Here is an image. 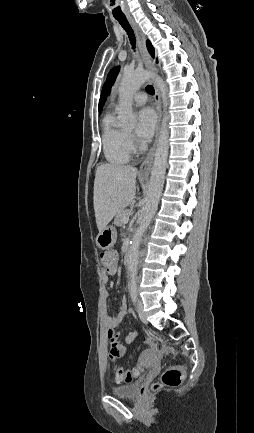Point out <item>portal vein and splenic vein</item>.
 I'll use <instances>...</instances> for the list:
<instances>
[{
  "label": "portal vein and splenic vein",
  "mask_w": 254,
  "mask_h": 433,
  "mask_svg": "<svg viewBox=\"0 0 254 433\" xmlns=\"http://www.w3.org/2000/svg\"><path fill=\"white\" fill-rule=\"evenodd\" d=\"M129 218H130V216L123 217V223H128L129 222Z\"/></svg>",
  "instance_id": "1"
}]
</instances>
